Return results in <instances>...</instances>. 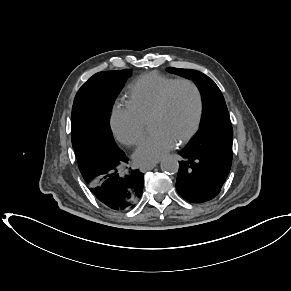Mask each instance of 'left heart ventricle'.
<instances>
[{"instance_id":"left-heart-ventricle-1","label":"left heart ventricle","mask_w":291,"mask_h":291,"mask_svg":"<svg viewBox=\"0 0 291 291\" xmlns=\"http://www.w3.org/2000/svg\"><path fill=\"white\" fill-rule=\"evenodd\" d=\"M196 116V98L193 90L180 85L171 94L167 111L149 122L153 132H166L176 140L193 125Z\"/></svg>"}]
</instances>
